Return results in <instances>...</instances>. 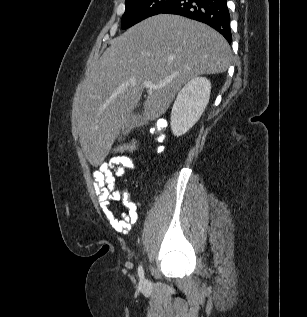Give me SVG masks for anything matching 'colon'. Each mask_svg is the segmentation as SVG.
<instances>
[{
    "mask_svg": "<svg viewBox=\"0 0 307 317\" xmlns=\"http://www.w3.org/2000/svg\"><path fill=\"white\" fill-rule=\"evenodd\" d=\"M166 127L167 122L164 119H159L150 129L151 137L154 141L160 144V146L157 148L159 152H162L164 150V146L162 145V143L164 142L166 137ZM137 148V141L135 139H131L128 142L115 145L112 148L111 152L113 153V155H131L137 150Z\"/></svg>",
    "mask_w": 307,
    "mask_h": 317,
    "instance_id": "obj_1",
    "label": "colon"
}]
</instances>
